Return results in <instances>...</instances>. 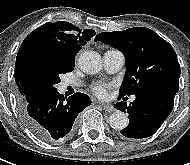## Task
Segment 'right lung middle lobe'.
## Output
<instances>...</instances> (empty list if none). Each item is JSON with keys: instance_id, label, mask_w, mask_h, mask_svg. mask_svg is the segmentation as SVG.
<instances>
[{"instance_id": "dd1d6c3e", "label": "right lung middle lobe", "mask_w": 190, "mask_h": 165, "mask_svg": "<svg viewBox=\"0 0 190 165\" xmlns=\"http://www.w3.org/2000/svg\"><path fill=\"white\" fill-rule=\"evenodd\" d=\"M74 59L44 47H33L25 60V74L28 92L35 96L43 91L54 90L60 75L71 72Z\"/></svg>"}]
</instances>
